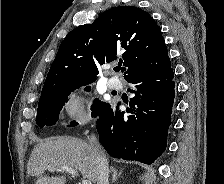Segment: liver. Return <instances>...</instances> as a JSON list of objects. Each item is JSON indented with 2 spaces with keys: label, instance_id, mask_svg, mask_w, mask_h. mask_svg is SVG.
Masks as SVG:
<instances>
[{
  "label": "liver",
  "instance_id": "liver-1",
  "mask_svg": "<svg viewBox=\"0 0 224 184\" xmlns=\"http://www.w3.org/2000/svg\"><path fill=\"white\" fill-rule=\"evenodd\" d=\"M51 167L79 170L84 178L97 182L96 161L90 145L76 137H52L35 146L27 165L28 175L37 178L35 184H66L65 175L49 177L44 174Z\"/></svg>",
  "mask_w": 224,
  "mask_h": 184
}]
</instances>
